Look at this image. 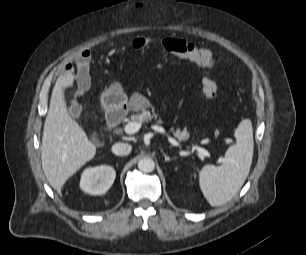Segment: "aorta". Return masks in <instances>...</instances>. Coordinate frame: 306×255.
<instances>
[{"mask_svg": "<svg viewBox=\"0 0 306 255\" xmlns=\"http://www.w3.org/2000/svg\"><path fill=\"white\" fill-rule=\"evenodd\" d=\"M138 168L144 173L152 172L155 168V162L151 158H143L138 162Z\"/></svg>", "mask_w": 306, "mask_h": 255, "instance_id": "obj_1", "label": "aorta"}]
</instances>
